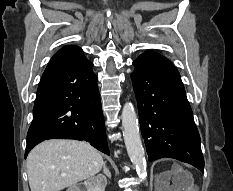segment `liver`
<instances>
[{"label": "liver", "instance_id": "obj_1", "mask_svg": "<svg viewBox=\"0 0 233 191\" xmlns=\"http://www.w3.org/2000/svg\"><path fill=\"white\" fill-rule=\"evenodd\" d=\"M102 166L101 154L86 142L47 140L27 157L29 186L31 191H60L96 175Z\"/></svg>", "mask_w": 233, "mask_h": 191}]
</instances>
